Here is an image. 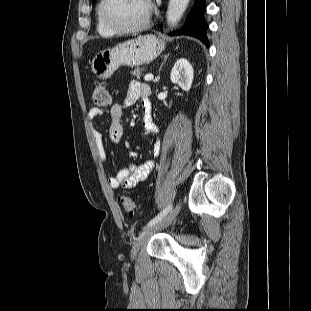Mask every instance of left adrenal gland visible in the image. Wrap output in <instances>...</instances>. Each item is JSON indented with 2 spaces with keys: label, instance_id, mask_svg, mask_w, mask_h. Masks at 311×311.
<instances>
[{
  "label": "left adrenal gland",
  "instance_id": "a2214340",
  "mask_svg": "<svg viewBox=\"0 0 311 311\" xmlns=\"http://www.w3.org/2000/svg\"><path fill=\"white\" fill-rule=\"evenodd\" d=\"M168 56H169V54H167V55L164 56V59H163V62H162V64H161L160 69L162 68L163 64L166 62ZM159 78H160V77H158V79H159Z\"/></svg>",
  "mask_w": 311,
  "mask_h": 311
}]
</instances>
